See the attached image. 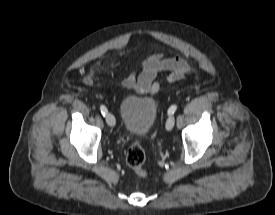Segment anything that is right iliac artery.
Returning <instances> with one entry per match:
<instances>
[{
  "instance_id": "1",
  "label": "right iliac artery",
  "mask_w": 275,
  "mask_h": 215,
  "mask_svg": "<svg viewBox=\"0 0 275 215\" xmlns=\"http://www.w3.org/2000/svg\"><path fill=\"white\" fill-rule=\"evenodd\" d=\"M100 110H101L102 115L105 117L108 112L107 108L104 105H101Z\"/></svg>"
}]
</instances>
